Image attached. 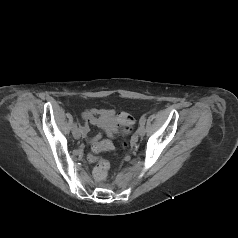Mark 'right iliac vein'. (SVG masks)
Wrapping results in <instances>:
<instances>
[{
    "label": "right iliac vein",
    "instance_id": "1",
    "mask_svg": "<svg viewBox=\"0 0 238 238\" xmlns=\"http://www.w3.org/2000/svg\"><path fill=\"white\" fill-rule=\"evenodd\" d=\"M73 136L75 139H79L81 137V130L78 128L73 130Z\"/></svg>",
    "mask_w": 238,
    "mask_h": 238
}]
</instances>
